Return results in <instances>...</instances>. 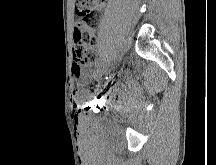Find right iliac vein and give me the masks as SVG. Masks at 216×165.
Here are the masks:
<instances>
[{
	"instance_id": "63e3f726",
	"label": "right iliac vein",
	"mask_w": 216,
	"mask_h": 165,
	"mask_svg": "<svg viewBox=\"0 0 216 165\" xmlns=\"http://www.w3.org/2000/svg\"><path fill=\"white\" fill-rule=\"evenodd\" d=\"M111 65H112L111 63L105 64L104 66H102L101 68H99V69L97 70V74H98L99 76H101V75L105 72V69H109Z\"/></svg>"
}]
</instances>
